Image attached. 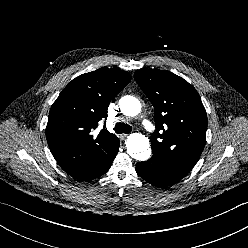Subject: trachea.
<instances>
[{
	"label": "trachea",
	"mask_w": 248,
	"mask_h": 248,
	"mask_svg": "<svg viewBox=\"0 0 248 248\" xmlns=\"http://www.w3.org/2000/svg\"><path fill=\"white\" fill-rule=\"evenodd\" d=\"M117 134L121 133H130L132 131V127L126 123L119 122L116 123L114 129H113Z\"/></svg>",
	"instance_id": "1"
}]
</instances>
